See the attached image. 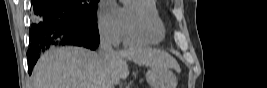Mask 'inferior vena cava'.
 Returning a JSON list of instances; mask_svg holds the SVG:
<instances>
[{"instance_id":"602c4592","label":"inferior vena cava","mask_w":267,"mask_h":88,"mask_svg":"<svg viewBox=\"0 0 267 88\" xmlns=\"http://www.w3.org/2000/svg\"><path fill=\"white\" fill-rule=\"evenodd\" d=\"M115 56V51L112 46L111 39L109 35L104 32L100 31V49H99V57L101 60L102 65L105 67L107 62L110 60V58ZM102 88H114L113 83L105 79L103 82Z\"/></svg>"}]
</instances>
